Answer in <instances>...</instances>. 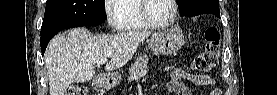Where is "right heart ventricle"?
Masks as SVG:
<instances>
[{"mask_svg": "<svg viewBox=\"0 0 277 95\" xmlns=\"http://www.w3.org/2000/svg\"><path fill=\"white\" fill-rule=\"evenodd\" d=\"M141 4L142 0H119L116 2L121 30H140L149 27L142 17Z\"/></svg>", "mask_w": 277, "mask_h": 95, "instance_id": "right-heart-ventricle-1", "label": "right heart ventricle"}]
</instances>
